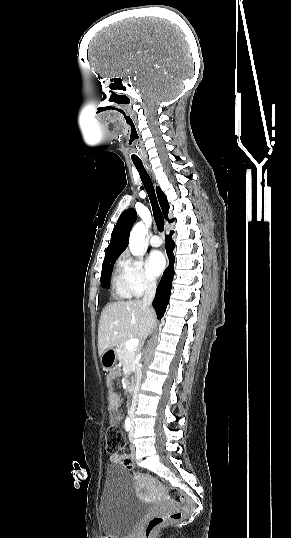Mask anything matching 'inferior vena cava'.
Returning <instances> with one entry per match:
<instances>
[{"instance_id":"inferior-vena-cava-1","label":"inferior vena cava","mask_w":291,"mask_h":538,"mask_svg":"<svg viewBox=\"0 0 291 538\" xmlns=\"http://www.w3.org/2000/svg\"><path fill=\"white\" fill-rule=\"evenodd\" d=\"M155 292H156V282H155V280H147L146 286H145V294H144V297H143V300H142L144 306L149 307L152 304L153 298L155 296ZM141 376H142V373H141L140 370H138L137 383H136L133 398H132V404H131V407L129 409V417L131 419L134 418V412H135L136 405H137V399H138V392H139V387H140Z\"/></svg>"}]
</instances>
